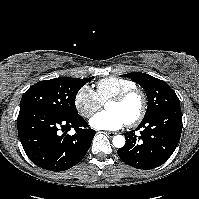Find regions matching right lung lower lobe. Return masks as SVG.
<instances>
[{
  "label": "right lung lower lobe",
  "instance_id": "obj_1",
  "mask_svg": "<svg viewBox=\"0 0 199 199\" xmlns=\"http://www.w3.org/2000/svg\"><path fill=\"white\" fill-rule=\"evenodd\" d=\"M82 116L61 117L40 109L19 112L18 134L23 149L37 166L64 171L76 165L87 153L95 131ZM74 129L76 133L69 135Z\"/></svg>",
  "mask_w": 199,
  "mask_h": 199
}]
</instances>
